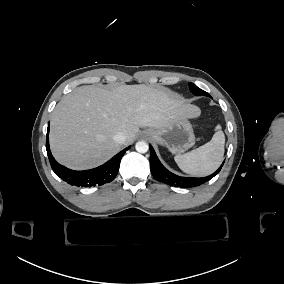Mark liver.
I'll return each instance as SVG.
<instances>
[{
	"label": "liver",
	"mask_w": 284,
	"mask_h": 284,
	"mask_svg": "<svg viewBox=\"0 0 284 284\" xmlns=\"http://www.w3.org/2000/svg\"><path fill=\"white\" fill-rule=\"evenodd\" d=\"M200 114L199 107L145 84L121 85L112 91L81 86L57 104L51 118L50 146L62 165L90 169L121 149L113 140L117 133L122 132L124 145H130L139 127H165L176 119Z\"/></svg>",
	"instance_id": "1"
}]
</instances>
